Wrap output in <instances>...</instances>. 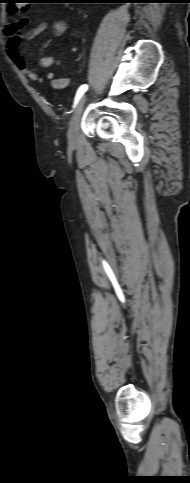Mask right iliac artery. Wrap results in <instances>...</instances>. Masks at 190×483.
Wrapping results in <instances>:
<instances>
[{"instance_id":"obj_1","label":"right iliac artery","mask_w":190,"mask_h":483,"mask_svg":"<svg viewBox=\"0 0 190 483\" xmlns=\"http://www.w3.org/2000/svg\"><path fill=\"white\" fill-rule=\"evenodd\" d=\"M88 89V85L84 84V85H81L76 93V97H75V101H74V107L75 105L77 104V102L79 101V99L81 98V96L87 91Z\"/></svg>"}]
</instances>
